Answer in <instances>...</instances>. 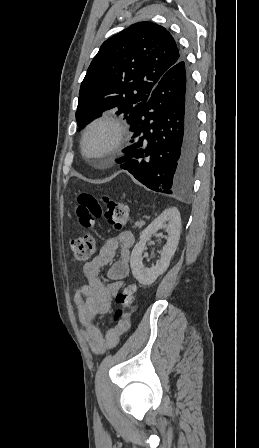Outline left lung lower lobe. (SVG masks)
I'll list each match as a JSON object with an SVG mask.
<instances>
[{
	"label": "left lung lower lobe",
	"mask_w": 259,
	"mask_h": 448,
	"mask_svg": "<svg viewBox=\"0 0 259 448\" xmlns=\"http://www.w3.org/2000/svg\"><path fill=\"white\" fill-rule=\"evenodd\" d=\"M127 123L134 132L126 155L117 160L143 185L173 194L192 181L198 146V119L191 72L184 56L158 81L144 107Z\"/></svg>",
	"instance_id": "obj_1"
}]
</instances>
